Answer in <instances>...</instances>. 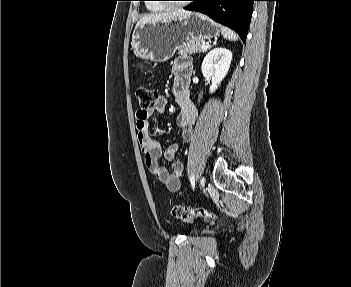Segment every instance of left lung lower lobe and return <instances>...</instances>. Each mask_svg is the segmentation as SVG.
Segmentation results:
<instances>
[{
  "label": "left lung lower lobe",
  "instance_id": "0a47b994",
  "mask_svg": "<svg viewBox=\"0 0 351 287\" xmlns=\"http://www.w3.org/2000/svg\"><path fill=\"white\" fill-rule=\"evenodd\" d=\"M185 10L203 13L214 21L234 29L245 43L256 0H191Z\"/></svg>",
  "mask_w": 351,
  "mask_h": 287
}]
</instances>
